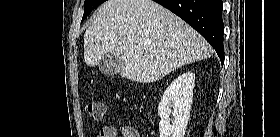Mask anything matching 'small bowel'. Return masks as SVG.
Instances as JSON below:
<instances>
[{
    "label": "small bowel",
    "instance_id": "1",
    "mask_svg": "<svg viewBox=\"0 0 280 137\" xmlns=\"http://www.w3.org/2000/svg\"><path fill=\"white\" fill-rule=\"evenodd\" d=\"M139 137L138 132L131 126L117 127L113 124L104 125L98 134V137Z\"/></svg>",
    "mask_w": 280,
    "mask_h": 137
}]
</instances>
